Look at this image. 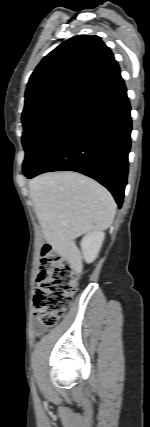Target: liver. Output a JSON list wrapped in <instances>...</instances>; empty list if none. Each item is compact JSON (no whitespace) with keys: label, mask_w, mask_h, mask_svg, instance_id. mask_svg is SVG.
Instances as JSON below:
<instances>
[{"label":"liver","mask_w":150,"mask_h":427,"mask_svg":"<svg viewBox=\"0 0 150 427\" xmlns=\"http://www.w3.org/2000/svg\"><path fill=\"white\" fill-rule=\"evenodd\" d=\"M30 196L46 241L60 255L75 249L73 240L109 228L116 213L111 193L76 172H51L32 179Z\"/></svg>","instance_id":"1"}]
</instances>
